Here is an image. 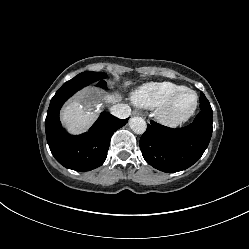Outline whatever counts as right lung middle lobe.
Instances as JSON below:
<instances>
[{
	"label": "right lung middle lobe",
	"instance_id": "dd1d6c3e",
	"mask_svg": "<svg viewBox=\"0 0 249 249\" xmlns=\"http://www.w3.org/2000/svg\"><path fill=\"white\" fill-rule=\"evenodd\" d=\"M106 77H107V74L105 73L86 71V72L78 74L73 79L84 80V81H88L89 83H94L100 80H104Z\"/></svg>",
	"mask_w": 249,
	"mask_h": 249
}]
</instances>
